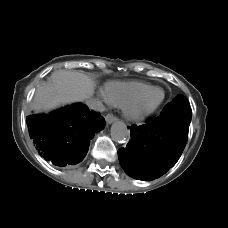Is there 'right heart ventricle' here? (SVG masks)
<instances>
[{
  "mask_svg": "<svg viewBox=\"0 0 228 228\" xmlns=\"http://www.w3.org/2000/svg\"><path fill=\"white\" fill-rule=\"evenodd\" d=\"M149 87V84L139 81L109 82L104 86V95L108 103L122 107Z\"/></svg>",
  "mask_w": 228,
  "mask_h": 228,
  "instance_id": "1",
  "label": "right heart ventricle"
}]
</instances>
